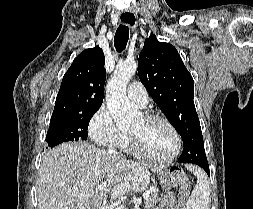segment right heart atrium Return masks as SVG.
Returning <instances> with one entry per match:
<instances>
[{
	"label": "right heart atrium",
	"mask_w": 253,
	"mask_h": 209,
	"mask_svg": "<svg viewBox=\"0 0 253 209\" xmlns=\"http://www.w3.org/2000/svg\"><path fill=\"white\" fill-rule=\"evenodd\" d=\"M89 136L99 146L124 147L128 143V135L114 123L106 107H100L90 120Z\"/></svg>",
	"instance_id": "right-heart-atrium-1"
}]
</instances>
